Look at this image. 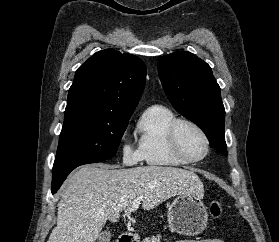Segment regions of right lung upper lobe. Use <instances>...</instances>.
Returning <instances> with one entry per match:
<instances>
[{
  "label": "right lung upper lobe",
  "mask_w": 279,
  "mask_h": 242,
  "mask_svg": "<svg viewBox=\"0 0 279 242\" xmlns=\"http://www.w3.org/2000/svg\"><path fill=\"white\" fill-rule=\"evenodd\" d=\"M145 79L146 65L137 56L113 49L99 51L77 69L65 114L130 117L143 92Z\"/></svg>",
  "instance_id": "cb5924a9"
}]
</instances>
